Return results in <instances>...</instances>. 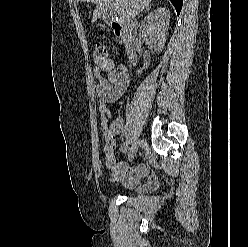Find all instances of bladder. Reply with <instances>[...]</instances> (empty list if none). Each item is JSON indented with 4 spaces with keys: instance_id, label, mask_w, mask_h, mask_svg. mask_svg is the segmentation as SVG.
<instances>
[{
    "instance_id": "31cf9c89",
    "label": "bladder",
    "mask_w": 248,
    "mask_h": 247,
    "mask_svg": "<svg viewBox=\"0 0 248 247\" xmlns=\"http://www.w3.org/2000/svg\"><path fill=\"white\" fill-rule=\"evenodd\" d=\"M146 191H147L146 185H139L134 189L133 193L134 194H142V193H145Z\"/></svg>"
}]
</instances>
